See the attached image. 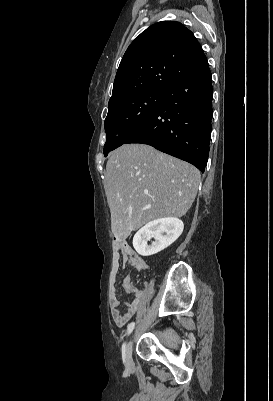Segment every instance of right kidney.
I'll return each instance as SVG.
<instances>
[{"label": "right kidney", "instance_id": "right-kidney-1", "mask_svg": "<svg viewBox=\"0 0 273 401\" xmlns=\"http://www.w3.org/2000/svg\"><path fill=\"white\" fill-rule=\"evenodd\" d=\"M183 229L182 221L175 217L150 221L134 235L133 247L142 257H150L172 245L180 237ZM150 239H155L152 245H148Z\"/></svg>", "mask_w": 273, "mask_h": 401}]
</instances>
